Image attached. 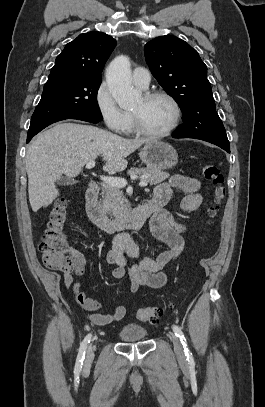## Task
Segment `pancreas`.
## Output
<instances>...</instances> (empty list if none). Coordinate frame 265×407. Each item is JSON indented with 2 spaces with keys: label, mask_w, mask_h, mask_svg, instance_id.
I'll use <instances>...</instances> for the list:
<instances>
[{
  "label": "pancreas",
  "mask_w": 265,
  "mask_h": 407,
  "mask_svg": "<svg viewBox=\"0 0 265 407\" xmlns=\"http://www.w3.org/2000/svg\"><path fill=\"white\" fill-rule=\"evenodd\" d=\"M128 175L142 176L150 185H157L169 177V174L157 169L150 168H131ZM102 206L113 217H121L130 207L129 201L123 195L119 187H113L109 184H102Z\"/></svg>",
  "instance_id": "cf45deb5"
}]
</instances>
